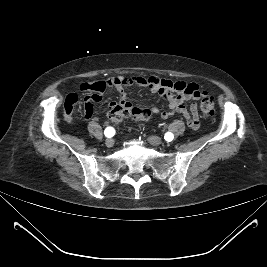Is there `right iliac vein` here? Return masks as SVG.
Returning a JSON list of instances; mask_svg holds the SVG:
<instances>
[{
  "instance_id": "right-iliac-vein-1",
  "label": "right iliac vein",
  "mask_w": 267,
  "mask_h": 267,
  "mask_svg": "<svg viewBox=\"0 0 267 267\" xmlns=\"http://www.w3.org/2000/svg\"><path fill=\"white\" fill-rule=\"evenodd\" d=\"M105 145L107 147H112L114 145V140L112 138L106 139Z\"/></svg>"
}]
</instances>
